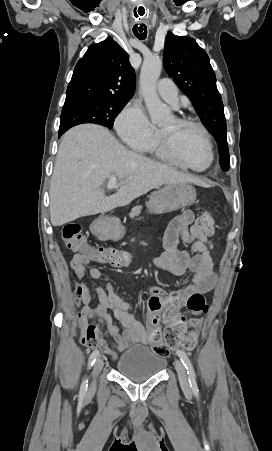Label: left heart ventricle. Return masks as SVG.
<instances>
[{
  "instance_id": "left-heart-ventricle-1",
  "label": "left heart ventricle",
  "mask_w": 272,
  "mask_h": 451,
  "mask_svg": "<svg viewBox=\"0 0 272 451\" xmlns=\"http://www.w3.org/2000/svg\"><path fill=\"white\" fill-rule=\"evenodd\" d=\"M162 129L168 144L176 148L184 164L196 170H203L209 165L210 153L196 129L178 124L173 117L165 122Z\"/></svg>"
}]
</instances>
